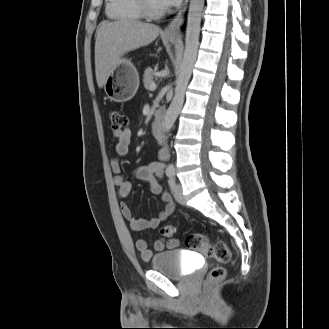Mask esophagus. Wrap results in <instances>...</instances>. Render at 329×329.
<instances>
[{
  "mask_svg": "<svg viewBox=\"0 0 329 329\" xmlns=\"http://www.w3.org/2000/svg\"><path fill=\"white\" fill-rule=\"evenodd\" d=\"M188 0H184L182 7L176 14V16L171 20L168 26L164 30L166 36L179 37L180 30L184 23V16L187 9Z\"/></svg>",
  "mask_w": 329,
  "mask_h": 329,
  "instance_id": "obj_1",
  "label": "esophagus"
}]
</instances>
